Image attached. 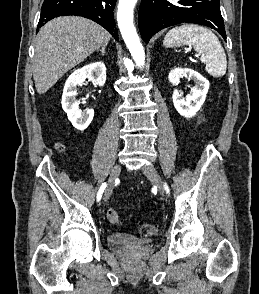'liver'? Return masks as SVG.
I'll return each mask as SVG.
<instances>
[{
    "instance_id": "obj_1",
    "label": "liver",
    "mask_w": 259,
    "mask_h": 294,
    "mask_svg": "<svg viewBox=\"0 0 259 294\" xmlns=\"http://www.w3.org/2000/svg\"><path fill=\"white\" fill-rule=\"evenodd\" d=\"M110 38L103 27L83 17L49 21L36 38L33 78L37 92L46 93L69 69L107 45Z\"/></svg>"
}]
</instances>
